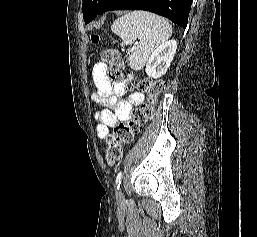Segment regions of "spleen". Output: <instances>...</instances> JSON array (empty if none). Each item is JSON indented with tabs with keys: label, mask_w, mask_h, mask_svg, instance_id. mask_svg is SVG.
Listing matches in <instances>:
<instances>
[{
	"label": "spleen",
	"mask_w": 257,
	"mask_h": 237,
	"mask_svg": "<svg viewBox=\"0 0 257 237\" xmlns=\"http://www.w3.org/2000/svg\"><path fill=\"white\" fill-rule=\"evenodd\" d=\"M111 29L122 38V47L139 39L135 51L127 59L134 70H141L147 65L153 52L172 34L167 20L145 11H133L118 18Z\"/></svg>",
	"instance_id": "obj_1"
}]
</instances>
